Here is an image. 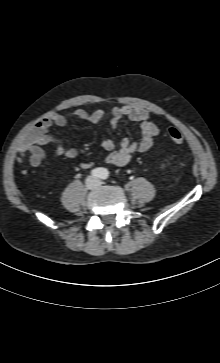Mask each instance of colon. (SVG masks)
Returning <instances> with one entry per match:
<instances>
[{"instance_id":"5ec220e1","label":"colon","mask_w":220,"mask_h":363,"mask_svg":"<svg viewBox=\"0 0 220 363\" xmlns=\"http://www.w3.org/2000/svg\"><path fill=\"white\" fill-rule=\"evenodd\" d=\"M167 136L170 139V141L175 143V144H181L185 140L184 135L179 130H177L175 128H170L167 131Z\"/></svg>"}]
</instances>
